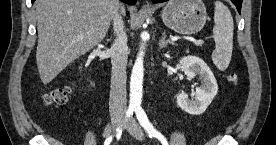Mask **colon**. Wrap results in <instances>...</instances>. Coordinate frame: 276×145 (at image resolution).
<instances>
[{"label":"colon","mask_w":276,"mask_h":145,"mask_svg":"<svg viewBox=\"0 0 276 145\" xmlns=\"http://www.w3.org/2000/svg\"><path fill=\"white\" fill-rule=\"evenodd\" d=\"M70 93L69 88H56L45 94L43 100L49 106H60L67 102Z\"/></svg>","instance_id":"5ec220e1"}]
</instances>
